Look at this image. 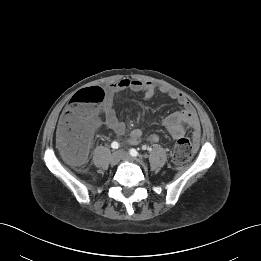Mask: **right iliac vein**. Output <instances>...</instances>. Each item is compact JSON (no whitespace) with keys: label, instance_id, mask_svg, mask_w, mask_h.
I'll return each instance as SVG.
<instances>
[{"label":"right iliac vein","instance_id":"obj_1","mask_svg":"<svg viewBox=\"0 0 261 261\" xmlns=\"http://www.w3.org/2000/svg\"><path fill=\"white\" fill-rule=\"evenodd\" d=\"M119 154L117 152H113L111 155H110V158H109V163L111 165H116L118 162H119Z\"/></svg>","mask_w":261,"mask_h":261}]
</instances>
